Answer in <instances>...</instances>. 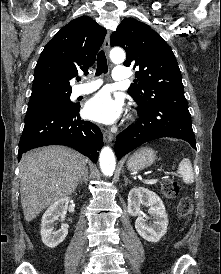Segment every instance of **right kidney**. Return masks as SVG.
Instances as JSON below:
<instances>
[{"label": "right kidney", "instance_id": "right-kidney-1", "mask_svg": "<svg viewBox=\"0 0 221 274\" xmlns=\"http://www.w3.org/2000/svg\"><path fill=\"white\" fill-rule=\"evenodd\" d=\"M70 198L65 197L54 202L45 211L41 221L42 242L49 248H55L64 241L68 234V226L62 225L58 231H54V223L59 218L65 219Z\"/></svg>", "mask_w": 221, "mask_h": 274}]
</instances>
